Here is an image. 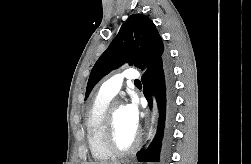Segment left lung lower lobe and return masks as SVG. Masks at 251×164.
Masks as SVG:
<instances>
[{"mask_svg":"<svg viewBox=\"0 0 251 164\" xmlns=\"http://www.w3.org/2000/svg\"><path fill=\"white\" fill-rule=\"evenodd\" d=\"M143 93L152 104V95L156 97L159 108V123L155 138L146 151L138 152L139 162H158L161 147L166 148L171 138L174 119V83L167 57L158 62L142 76Z\"/></svg>","mask_w":251,"mask_h":164,"instance_id":"obj_1","label":"left lung lower lobe"}]
</instances>
